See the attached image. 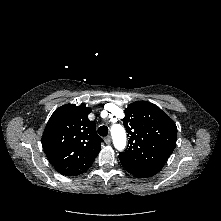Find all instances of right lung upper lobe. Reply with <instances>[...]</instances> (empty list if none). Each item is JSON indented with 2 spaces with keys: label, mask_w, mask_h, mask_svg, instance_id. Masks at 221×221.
<instances>
[{
  "label": "right lung upper lobe",
  "mask_w": 221,
  "mask_h": 221,
  "mask_svg": "<svg viewBox=\"0 0 221 221\" xmlns=\"http://www.w3.org/2000/svg\"><path fill=\"white\" fill-rule=\"evenodd\" d=\"M90 112L84 104H66L52 114L46 125L42 146L62 175L86 172L100 152L103 140L96 133V124L88 119Z\"/></svg>",
  "instance_id": "obj_1"
}]
</instances>
